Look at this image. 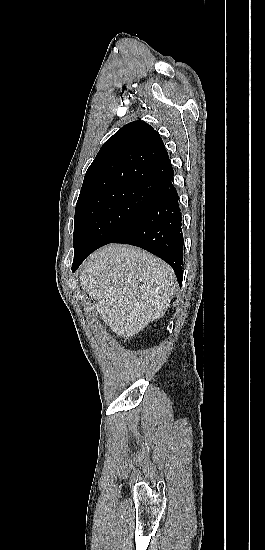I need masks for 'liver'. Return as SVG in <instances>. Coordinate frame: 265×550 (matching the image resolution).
<instances>
[{"label": "liver", "mask_w": 265, "mask_h": 550, "mask_svg": "<svg viewBox=\"0 0 265 550\" xmlns=\"http://www.w3.org/2000/svg\"><path fill=\"white\" fill-rule=\"evenodd\" d=\"M80 281L102 320L124 338L161 318L176 287L175 274L167 263L140 248L119 244L90 255Z\"/></svg>", "instance_id": "6515ba94"}]
</instances>
